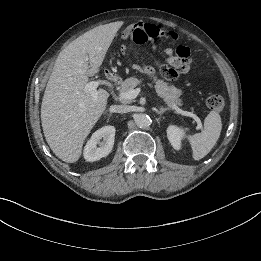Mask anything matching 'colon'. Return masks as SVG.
Instances as JSON below:
<instances>
[{
  "mask_svg": "<svg viewBox=\"0 0 261 261\" xmlns=\"http://www.w3.org/2000/svg\"><path fill=\"white\" fill-rule=\"evenodd\" d=\"M122 30L119 36L122 40L127 41L133 35L134 42L138 44L148 43L151 38L166 40L167 44L174 45L177 42L178 34L173 30L162 29L149 21L138 22L127 18L122 23ZM151 36V37H150ZM162 74L169 80H172L173 71L165 64L158 63ZM206 105L211 111L222 112L225 108V100L220 95H211L206 100Z\"/></svg>",
  "mask_w": 261,
  "mask_h": 261,
  "instance_id": "obj_1",
  "label": "colon"
}]
</instances>
